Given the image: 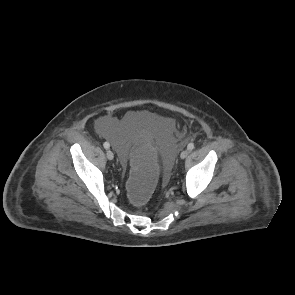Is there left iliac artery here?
Returning a JSON list of instances; mask_svg holds the SVG:
<instances>
[{
  "label": "left iliac artery",
  "instance_id": "1",
  "mask_svg": "<svg viewBox=\"0 0 295 295\" xmlns=\"http://www.w3.org/2000/svg\"><path fill=\"white\" fill-rule=\"evenodd\" d=\"M194 148H195V146H194L193 143H189L188 146H187V149L190 150V151L193 150Z\"/></svg>",
  "mask_w": 295,
  "mask_h": 295
}]
</instances>
